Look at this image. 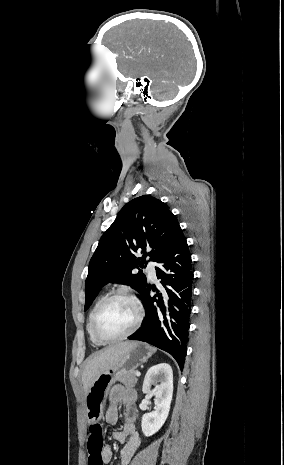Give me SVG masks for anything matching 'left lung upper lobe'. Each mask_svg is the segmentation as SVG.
Segmentation results:
<instances>
[{
    "mask_svg": "<svg viewBox=\"0 0 284 465\" xmlns=\"http://www.w3.org/2000/svg\"><path fill=\"white\" fill-rule=\"evenodd\" d=\"M179 227L166 204L150 195L125 204L90 260L84 310L109 282L130 285L141 294L146 276L141 272L133 274L132 270L143 268L147 255L156 261L170 246ZM137 251L143 253L142 258L135 256Z\"/></svg>",
    "mask_w": 284,
    "mask_h": 465,
    "instance_id": "1",
    "label": "left lung upper lobe"
}]
</instances>
